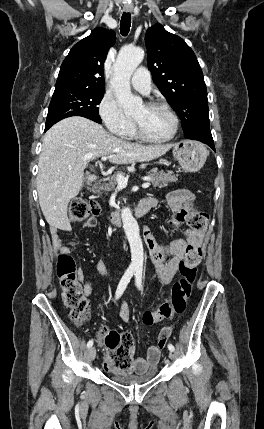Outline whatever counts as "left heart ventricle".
Returning <instances> with one entry per match:
<instances>
[{
  "instance_id": "1",
  "label": "left heart ventricle",
  "mask_w": 264,
  "mask_h": 429,
  "mask_svg": "<svg viewBox=\"0 0 264 429\" xmlns=\"http://www.w3.org/2000/svg\"><path fill=\"white\" fill-rule=\"evenodd\" d=\"M145 133L156 139L169 136L173 130V120L170 115L161 109H151L142 105L133 114Z\"/></svg>"
}]
</instances>
